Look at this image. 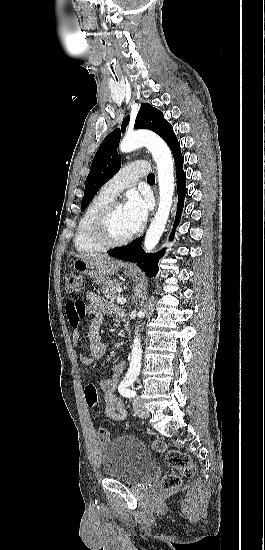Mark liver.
Returning a JSON list of instances; mask_svg holds the SVG:
<instances>
[{
    "label": "liver",
    "mask_w": 265,
    "mask_h": 550,
    "mask_svg": "<svg viewBox=\"0 0 265 550\" xmlns=\"http://www.w3.org/2000/svg\"><path fill=\"white\" fill-rule=\"evenodd\" d=\"M80 259L88 262L103 275H114L119 268L124 266L122 261L114 260L103 254L80 255Z\"/></svg>",
    "instance_id": "1"
}]
</instances>
